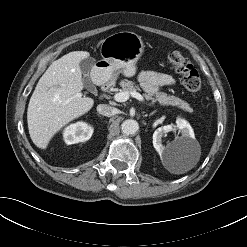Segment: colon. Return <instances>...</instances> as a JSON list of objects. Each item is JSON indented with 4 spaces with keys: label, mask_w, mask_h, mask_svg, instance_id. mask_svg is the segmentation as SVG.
<instances>
[{
    "label": "colon",
    "mask_w": 247,
    "mask_h": 247,
    "mask_svg": "<svg viewBox=\"0 0 247 247\" xmlns=\"http://www.w3.org/2000/svg\"><path fill=\"white\" fill-rule=\"evenodd\" d=\"M168 62L181 75L186 90L192 93L200 90L201 78L199 72L186 57L178 51H172L168 55Z\"/></svg>",
    "instance_id": "colon-1"
}]
</instances>
